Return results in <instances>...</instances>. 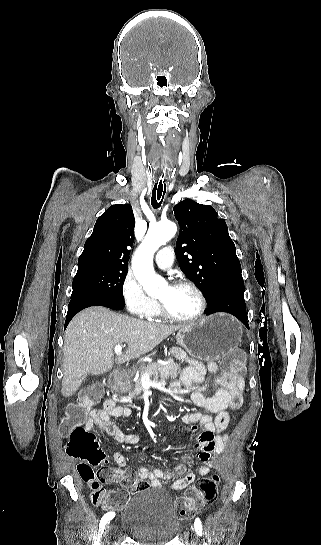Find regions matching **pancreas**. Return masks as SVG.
<instances>
[{
    "label": "pancreas",
    "instance_id": "obj_1",
    "mask_svg": "<svg viewBox=\"0 0 321 545\" xmlns=\"http://www.w3.org/2000/svg\"><path fill=\"white\" fill-rule=\"evenodd\" d=\"M136 369L135 367H132V369H128V371H124L125 375H134ZM144 373H147L149 377H153L154 383H161L162 379H175V377H178L179 373H181V367L178 365V363H172V361H162V363H148V365H144L141 369V377L144 375ZM161 379V381H159ZM143 391L141 379H138L134 385V391H132L131 395H138V393H141Z\"/></svg>",
    "mask_w": 321,
    "mask_h": 545
}]
</instances>
